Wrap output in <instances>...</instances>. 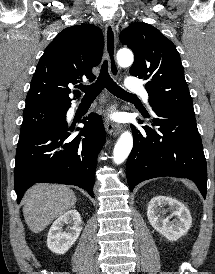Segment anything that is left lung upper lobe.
Masks as SVG:
<instances>
[{
    "label": "left lung upper lobe",
    "mask_w": 215,
    "mask_h": 274,
    "mask_svg": "<svg viewBox=\"0 0 215 274\" xmlns=\"http://www.w3.org/2000/svg\"><path fill=\"white\" fill-rule=\"evenodd\" d=\"M120 41L134 52L130 74L147 80L150 105L194 113L179 53L169 39L152 25L141 22L124 29Z\"/></svg>",
    "instance_id": "obj_1"
}]
</instances>
